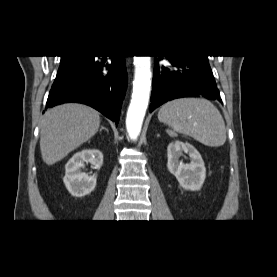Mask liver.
Instances as JSON below:
<instances>
[{"label": "liver", "mask_w": 277, "mask_h": 277, "mask_svg": "<svg viewBox=\"0 0 277 277\" xmlns=\"http://www.w3.org/2000/svg\"><path fill=\"white\" fill-rule=\"evenodd\" d=\"M100 126L97 111L82 104H64L48 110L40 124L43 161L52 165L92 138Z\"/></svg>", "instance_id": "liver-1"}]
</instances>
